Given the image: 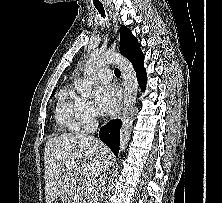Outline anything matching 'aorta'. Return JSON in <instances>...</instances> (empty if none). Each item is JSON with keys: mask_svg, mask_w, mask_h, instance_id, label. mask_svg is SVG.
Instances as JSON below:
<instances>
[{"mask_svg": "<svg viewBox=\"0 0 222 203\" xmlns=\"http://www.w3.org/2000/svg\"><path fill=\"white\" fill-rule=\"evenodd\" d=\"M105 64H115L119 67L123 78V113L120 130V154L125 151L130 140L133 126V110L136 103L138 82L133 65L125 57L107 51L105 53L93 52L89 57L82 81L75 83V88L85 97H90L95 75Z\"/></svg>", "mask_w": 222, "mask_h": 203, "instance_id": "762f6f07", "label": "aorta"}]
</instances>
